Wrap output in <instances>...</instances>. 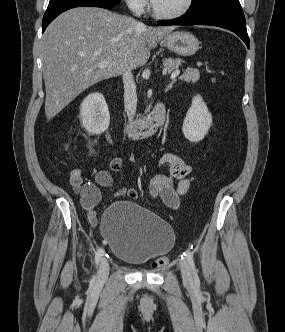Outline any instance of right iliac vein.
<instances>
[{
  "instance_id": "63e3f726",
  "label": "right iliac vein",
  "mask_w": 285,
  "mask_h": 332,
  "mask_svg": "<svg viewBox=\"0 0 285 332\" xmlns=\"http://www.w3.org/2000/svg\"><path fill=\"white\" fill-rule=\"evenodd\" d=\"M109 269H110L109 262L107 258L104 257L99 265L98 274H97V283L103 284L107 280Z\"/></svg>"
}]
</instances>
